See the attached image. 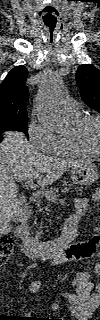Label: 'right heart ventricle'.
Instances as JSON below:
<instances>
[{"mask_svg":"<svg viewBox=\"0 0 100 320\" xmlns=\"http://www.w3.org/2000/svg\"><path fill=\"white\" fill-rule=\"evenodd\" d=\"M79 113L73 115H67L71 122H75L79 118ZM51 153L58 156H69V157H83L87 153L75 146L68 138L67 134L56 136L55 145Z\"/></svg>","mask_w":100,"mask_h":320,"instance_id":"right-heart-ventricle-1","label":"right heart ventricle"}]
</instances>
